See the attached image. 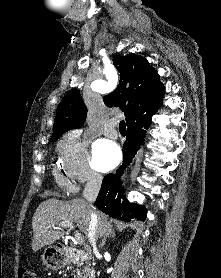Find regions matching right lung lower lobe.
I'll return each instance as SVG.
<instances>
[{
	"label": "right lung lower lobe",
	"instance_id": "right-lung-lower-lobe-1",
	"mask_svg": "<svg viewBox=\"0 0 221 278\" xmlns=\"http://www.w3.org/2000/svg\"><path fill=\"white\" fill-rule=\"evenodd\" d=\"M151 117L128 125L127 141L123 145V164L116 171V174L110 173L104 177L96 199L98 209L124 222H129L133 219L144 221L146 218L147 210L145 207L127 201L120 177L143 144L146 130L151 123Z\"/></svg>",
	"mask_w": 221,
	"mask_h": 278
}]
</instances>
